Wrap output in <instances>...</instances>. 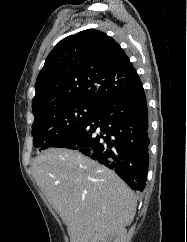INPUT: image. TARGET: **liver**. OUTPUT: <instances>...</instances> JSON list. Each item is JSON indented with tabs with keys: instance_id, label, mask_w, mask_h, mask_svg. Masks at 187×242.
I'll return each mask as SVG.
<instances>
[{
	"instance_id": "6515ba94",
	"label": "liver",
	"mask_w": 187,
	"mask_h": 242,
	"mask_svg": "<svg viewBox=\"0 0 187 242\" xmlns=\"http://www.w3.org/2000/svg\"><path fill=\"white\" fill-rule=\"evenodd\" d=\"M32 173L67 225L70 242L104 239L134 219L133 191L113 171L78 151L48 149L34 159Z\"/></svg>"
}]
</instances>
